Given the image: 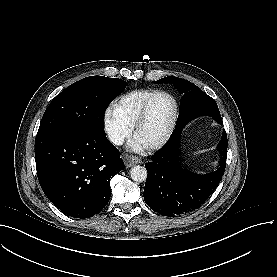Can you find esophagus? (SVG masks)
Here are the masks:
<instances>
[{
	"mask_svg": "<svg viewBox=\"0 0 277 277\" xmlns=\"http://www.w3.org/2000/svg\"><path fill=\"white\" fill-rule=\"evenodd\" d=\"M128 163H129V166H133L135 164L141 163V159L136 156H132Z\"/></svg>",
	"mask_w": 277,
	"mask_h": 277,
	"instance_id": "obj_1",
	"label": "esophagus"
}]
</instances>
